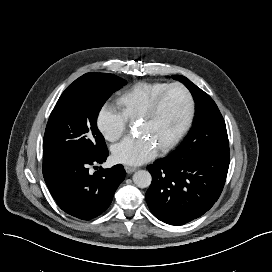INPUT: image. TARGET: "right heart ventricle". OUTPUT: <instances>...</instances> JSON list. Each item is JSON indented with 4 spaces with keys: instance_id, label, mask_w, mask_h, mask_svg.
Returning <instances> with one entry per match:
<instances>
[{
    "instance_id": "1",
    "label": "right heart ventricle",
    "mask_w": 272,
    "mask_h": 272,
    "mask_svg": "<svg viewBox=\"0 0 272 272\" xmlns=\"http://www.w3.org/2000/svg\"><path fill=\"white\" fill-rule=\"evenodd\" d=\"M168 85L166 82H137L118 96L117 104L127 119L137 120L152 99Z\"/></svg>"
}]
</instances>
